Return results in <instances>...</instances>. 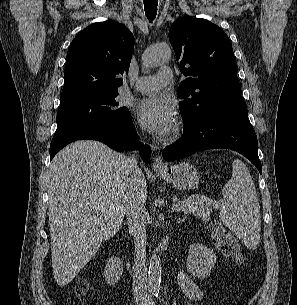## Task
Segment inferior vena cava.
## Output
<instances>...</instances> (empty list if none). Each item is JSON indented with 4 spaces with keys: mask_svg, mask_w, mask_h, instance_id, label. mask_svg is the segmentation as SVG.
<instances>
[{
    "mask_svg": "<svg viewBox=\"0 0 297 305\" xmlns=\"http://www.w3.org/2000/svg\"><path fill=\"white\" fill-rule=\"evenodd\" d=\"M124 166L128 174V186L125 195V214L129 233L133 236L135 256L133 263V292L137 305L150 302L147 274L146 225L148 213L144 206V197L138 189L142 171L138 167L137 153L126 157Z\"/></svg>",
    "mask_w": 297,
    "mask_h": 305,
    "instance_id": "obj_1",
    "label": "inferior vena cava"
}]
</instances>
